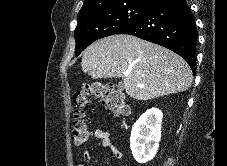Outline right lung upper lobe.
I'll return each instance as SVG.
<instances>
[{"mask_svg":"<svg viewBox=\"0 0 227 166\" xmlns=\"http://www.w3.org/2000/svg\"><path fill=\"white\" fill-rule=\"evenodd\" d=\"M159 0H84L83 6L79 14L95 11L112 5L126 4V3H141L153 6Z\"/></svg>","mask_w":227,"mask_h":166,"instance_id":"obj_1","label":"right lung upper lobe"}]
</instances>
